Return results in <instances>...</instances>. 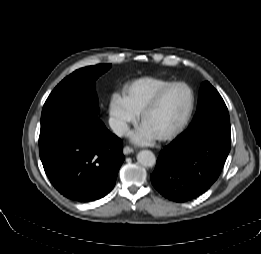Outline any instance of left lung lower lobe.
Instances as JSON below:
<instances>
[{
  "instance_id": "0a47b994",
  "label": "left lung lower lobe",
  "mask_w": 261,
  "mask_h": 254,
  "mask_svg": "<svg viewBox=\"0 0 261 254\" xmlns=\"http://www.w3.org/2000/svg\"><path fill=\"white\" fill-rule=\"evenodd\" d=\"M229 127L215 126L196 134H180L159 155L153 186L166 198L186 202L217 180L230 151Z\"/></svg>"
}]
</instances>
